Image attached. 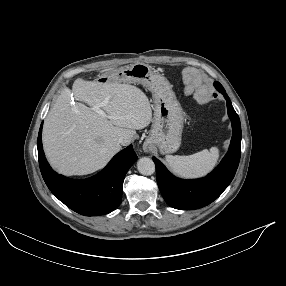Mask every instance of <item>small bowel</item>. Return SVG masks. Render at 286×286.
<instances>
[{
  "mask_svg": "<svg viewBox=\"0 0 286 286\" xmlns=\"http://www.w3.org/2000/svg\"><path fill=\"white\" fill-rule=\"evenodd\" d=\"M187 76H193L194 78H197L199 75L198 73L194 72L193 70L186 71Z\"/></svg>",
  "mask_w": 286,
  "mask_h": 286,
  "instance_id": "1",
  "label": "small bowel"
}]
</instances>
